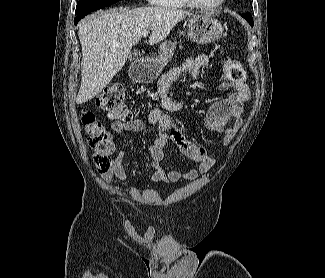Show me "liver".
Instances as JSON below:
<instances>
[{"mask_svg":"<svg viewBox=\"0 0 325 278\" xmlns=\"http://www.w3.org/2000/svg\"><path fill=\"white\" fill-rule=\"evenodd\" d=\"M187 11L165 7H139L100 12L79 27L82 47L81 85L76 103L97 96L122 69L144 30L151 29L149 44L165 39Z\"/></svg>","mask_w":325,"mask_h":278,"instance_id":"6515ba94","label":"liver"}]
</instances>
